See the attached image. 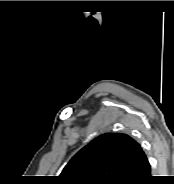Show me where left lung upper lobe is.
<instances>
[{"instance_id": "obj_1", "label": "left lung upper lobe", "mask_w": 174, "mask_h": 184, "mask_svg": "<svg viewBox=\"0 0 174 184\" xmlns=\"http://www.w3.org/2000/svg\"><path fill=\"white\" fill-rule=\"evenodd\" d=\"M140 149L127 134L100 135L70 160L60 178L66 184H126Z\"/></svg>"}]
</instances>
